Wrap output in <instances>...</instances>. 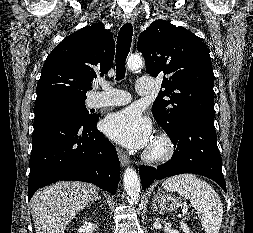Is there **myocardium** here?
<instances>
[{"instance_id":"myocardium-1","label":"myocardium","mask_w":253,"mask_h":233,"mask_svg":"<svg viewBox=\"0 0 253 233\" xmlns=\"http://www.w3.org/2000/svg\"><path fill=\"white\" fill-rule=\"evenodd\" d=\"M176 154V146L170 135L159 134L146 151L144 157L149 162H166Z\"/></svg>"}]
</instances>
